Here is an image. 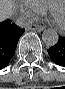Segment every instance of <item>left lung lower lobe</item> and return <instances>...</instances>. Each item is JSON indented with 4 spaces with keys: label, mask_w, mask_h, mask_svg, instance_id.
I'll return each mask as SVG.
<instances>
[{
    "label": "left lung lower lobe",
    "mask_w": 65,
    "mask_h": 89,
    "mask_svg": "<svg viewBox=\"0 0 65 89\" xmlns=\"http://www.w3.org/2000/svg\"><path fill=\"white\" fill-rule=\"evenodd\" d=\"M53 62L65 67V36L60 37L58 43L48 50Z\"/></svg>",
    "instance_id": "left-lung-lower-lobe-1"
}]
</instances>
